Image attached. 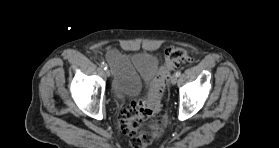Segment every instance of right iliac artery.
<instances>
[{"label":"right iliac artery","mask_w":279,"mask_h":148,"mask_svg":"<svg viewBox=\"0 0 279 148\" xmlns=\"http://www.w3.org/2000/svg\"><path fill=\"white\" fill-rule=\"evenodd\" d=\"M101 67H102L104 70H106V69L108 68L107 64L104 63V62H102Z\"/></svg>","instance_id":"1"}]
</instances>
